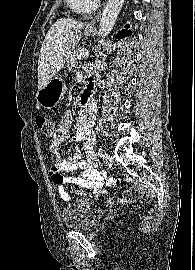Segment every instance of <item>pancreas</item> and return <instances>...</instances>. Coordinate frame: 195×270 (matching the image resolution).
I'll list each match as a JSON object with an SVG mask.
<instances>
[{"label": "pancreas", "instance_id": "pancreas-1", "mask_svg": "<svg viewBox=\"0 0 195 270\" xmlns=\"http://www.w3.org/2000/svg\"><path fill=\"white\" fill-rule=\"evenodd\" d=\"M86 50L84 48H79L77 50H75L71 55L70 57L68 58V61H67V68L69 70L73 69L74 67H77L78 65V61H79V54L85 52Z\"/></svg>", "mask_w": 195, "mask_h": 270}]
</instances>
